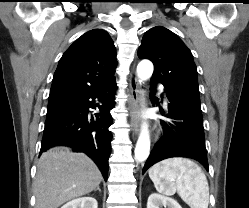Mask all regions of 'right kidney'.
<instances>
[{
  "mask_svg": "<svg viewBox=\"0 0 249 208\" xmlns=\"http://www.w3.org/2000/svg\"><path fill=\"white\" fill-rule=\"evenodd\" d=\"M61 208H98V203L93 197H82L69 201Z\"/></svg>",
  "mask_w": 249,
  "mask_h": 208,
  "instance_id": "obj_1",
  "label": "right kidney"
}]
</instances>
